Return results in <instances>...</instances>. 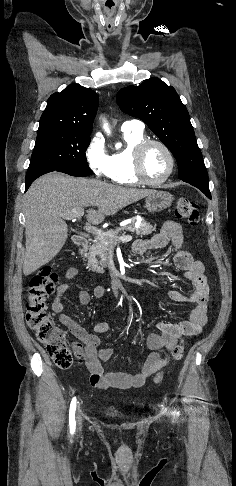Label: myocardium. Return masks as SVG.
<instances>
[{
    "label": "myocardium",
    "mask_w": 236,
    "mask_h": 486,
    "mask_svg": "<svg viewBox=\"0 0 236 486\" xmlns=\"http://www.w3.org/2000/svg\"><path fill=\"white\" fill-rule=\"evenodd\" d=\"M151 145L159 146L167 155L169 161V168L167 173L159 180H151L149 179L143 167V158L144 153L147 148ZM132 163H133V171L135 177L138 181L142 184L149 185V186H159L164 184L168 179L172 176L175 170V157L171 151V149L162 141L156 139H144L143 141L139 142L133 149L132 153Z\"/></svg>",
    "instance_id": "obj_1"
}]
</instances>
